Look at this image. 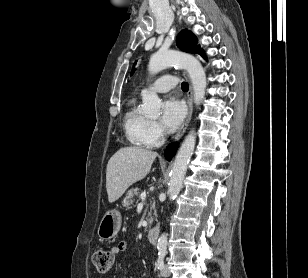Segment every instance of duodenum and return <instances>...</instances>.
Returning <instances> with one entry per match:
<instances>
[{"label": "duodenum", "instance_id": "410a0bca", "mask_svg": "<svg viewBox=\"0 0 308 278\" xmlns=\"http://www.w3.org/2000/svg\"><path fill=\"white\" fill-rule=\"evenodd\" d=\"M159 237V229L157 227H153L148 232V240L150 243L154 244L157 242Z\"/></svg>", "mask_w": 308, "mask_h": 278}]
</instances>
